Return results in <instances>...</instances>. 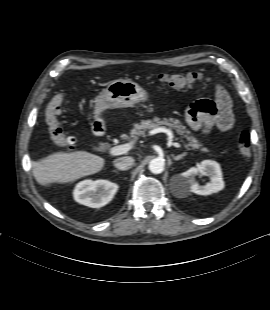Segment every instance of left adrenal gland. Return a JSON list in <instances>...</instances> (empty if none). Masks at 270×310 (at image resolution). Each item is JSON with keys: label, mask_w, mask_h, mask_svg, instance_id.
<instances>
[{"label": "left adrenal gland", "mask_w": 270, "mask_h": 310, "mask_svg": "<svg viewBox=\"0 0 270 310\" xmlns=\"http://www.w3.org/2000/svg\"><path fill=\"white\" fill-rule=\"evenodd\" d=\"M187 155V153L186 152H184V153H182V154H180V155H177V156H172L173 157V159L174 160H176V161H178V160H180V159H182L184 156H186Z\"/></svg>", "instance_id": "obj_1"}]
</instances>
